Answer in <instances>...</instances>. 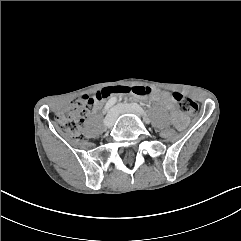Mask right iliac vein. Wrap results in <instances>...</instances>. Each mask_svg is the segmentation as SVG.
Returning a JSON list of instances; mask_svg holds the SVG:
<instances>
[{
    "label": "right iliac vein",
    "instance_id": "right-iliac-vein-1",
    "mask_svg": "<svg viewBox=\"0 0 241 241\" xmlns=\"http://www.w3.org/2000/svg\"><path fill=\"white\" fill-rule=\"evenodd\" d=\"M117 117V110L115 108L111 109L107 116L104 119V126L105 128L109 129L114 125V122Z\"/></svg>",
    "mask_w": 241,
    "mask_h": 241
}]
</instances>
